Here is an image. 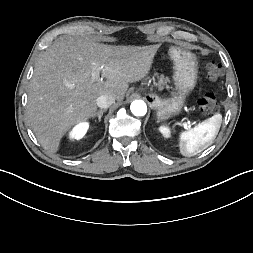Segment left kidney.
Here are the masks:
<instances>
[{
    "label": "left kidney",
    "instance_id": "1",
    "mask_svg": "<svg viewBox=\"0 0 253 253\" xmlns=\"http://www.w3.org/2000/svg\"><path fill=\"white\" fill-rule=\"evenodd\" d=\"M160 132L164 135V137L168 138L170 136V130L166 126H161L159 128Z\"/></svg>",
    "mask_w": 253,
    "mask_h": 253
}]
</instances>
